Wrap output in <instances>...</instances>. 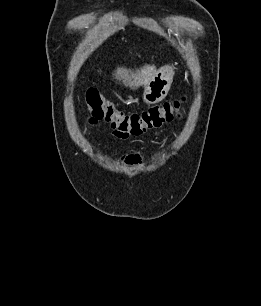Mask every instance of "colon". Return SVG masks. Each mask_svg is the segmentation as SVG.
I'll return each mask as SVG.
<instances>
[{
  "label": "colon",
  "mask_w": 261,
  "mask_h": 306,
  "mask_svg": "<svg viewBox=\"0 0 261 306\" xmlns=\"http://www.w3.org/2000/svg\"><path fill=\"white\" fill-rule=\"evenodd\" d=\"M183 101L184 98H181L151 106L142 112L126 113L116 108L97 89L90 88L86 93V118L89 125L101 121L108 123L119 138L139 136L172 121L178 116Z\"/></svg>",
  "instance_id": "colon-1"
}]
</instances>
